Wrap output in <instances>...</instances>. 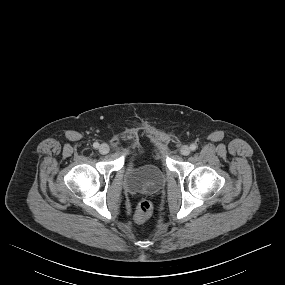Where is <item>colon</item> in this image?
<instances>
[{
  "label": "colon",
  "mask_w": 285,
  "mask_h": 285,
  "mask_svg": "<svg viewBox=\"0 0 285 285\" xmlns=\"http://www.w3.org/2000/svg\"><path fill=\"white\" fill-rule=\"evenodd\" d=\"M153 207L150 201L141 200L136 208L135 217L139 222H146L152 217Z\"/></svg>",
  "instance_id": "5ec220e1"
}]
</instances>
